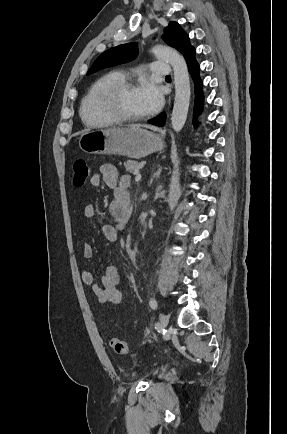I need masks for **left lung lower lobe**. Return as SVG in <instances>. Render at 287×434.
I'll return each mask as SVG.
<instances>
[{"label": "left lung lower lobe", "mask_w": 287, "mask_h": 434, "mask_svg": "<svg viewBox=\"0 0 287 434\" xmlns=\"http://www.w3.org/2000/svg\"><path fill=\"white\" fill-rule=\"evenodd\" d=\"M188 70L193 78L194 86H195V106H194V112H193V121L196 125V119L197 116L202 112L203 110V92H202V82L199 77V65L195 60V54L190 56L188 59H186ZM166 120V114L161 113L157 117L149 120L148 122L157 126H164Z\"/></svg>", "instance_id": "1"}]
</instances>
